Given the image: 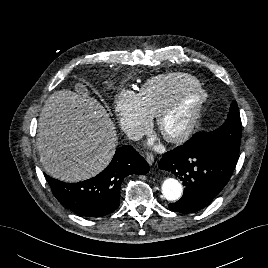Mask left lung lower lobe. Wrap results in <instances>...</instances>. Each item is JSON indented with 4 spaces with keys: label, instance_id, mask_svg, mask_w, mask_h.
<instances>
[{
    "label": "left lung lower lobe",
    "instance_id": "1",
    "mask_svg": "<svg viewBox=\"0 0 268 268\" xmlns=\"http://www.w3.org/2000/svg\"><path fill=\"white\" fill-rule=\"evenodd\" d=\"M238 159L224 153L191 148L185 144L166 152L159 167L183 181L184 194L169 208L193 213L207 206L229 181Z\"/></svg>",
    "mask_w": 268,
    "mask_h": 268
}]
</instances>
